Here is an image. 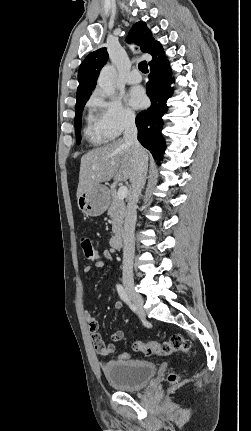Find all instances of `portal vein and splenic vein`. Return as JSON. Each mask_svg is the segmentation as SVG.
<instances>
[{
    "label": "portal vein and splenic vein",
    "mask_w": 251,
    "mask_h": 431,
    "mask_svg": "<svg viewBox=\"0 0 251 431\" xmlns=\"http://www.w3.org/2000/svg\"><path fill=\"white\" fill-rule=\"evenodd\" d=\"M128 195V188L126 186H121L117 191V197L123 200Z\"/></svg>",
    "instance_id": "portal-vein-and-splenic-vein-1"
}]
</instances>
